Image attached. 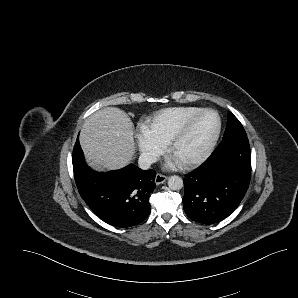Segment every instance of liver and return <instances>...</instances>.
I'll use <instances>...</instances> for the list:
<instances>
[{
    "instance_id": "1",
    "label": "liver",
    "mask_w": 298,
    "mask_h": 298,
    "mask_svg": "<svg viewBox=\"0 0 298 298\" xmlns=\"http://www.w3.org/2000/svg\"><path fill=\"white\" fill-rule=\"evenodd\" d=\"M133 123L117 107H105L89 115L79 132V144L88 167L96 172L116 171L134 159Z\"/></svg>"
}]
</instances>
